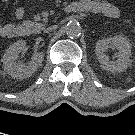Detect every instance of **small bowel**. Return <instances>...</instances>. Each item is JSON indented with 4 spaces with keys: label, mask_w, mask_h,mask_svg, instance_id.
Masks as SVG:
<instances>
[{
    "label": "small bowel",
    "mask_w": 135,
    "mask_h": 135,
    "mask_svg": "<svg viewBox=\"0 0 135 135\" xmlns=\"http://www.w3.org/2000/svg\"><path fill=\"white\" fill-rule=\"evenodd\" d=\"M4 2L8 0H2ZM84 9L94 12L102 13L109 18H117L119 16V9L110 0H88L82 6ZM25 14L24 7H18L15 12L16 19L20 20ZM19 34V27L13 23H0V38H9Z\"/></svg>",
    "instance_id": "c3829d8e"
}]
</instances>
